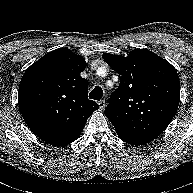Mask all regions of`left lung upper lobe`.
<instances>
[{"label":"left lung upper lobe","instance_id":"obj_1","mask_svg":"<svg viewBox=\"0 0 193 193\" xmlns=\"http://www.w3.org/2000/svg\"><path fill=\"white\" fill-rule=\"evenodd\" d=\"M103 58L121 75L104 112L116 133L159 136L179 105L176 69L147 49H135L127 57L104 53Z\"/></svg>","mask_w":193,"mask_h":193}]
</instances>
